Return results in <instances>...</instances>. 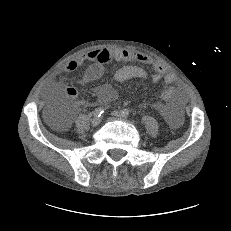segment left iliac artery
Segmentation results:
<instances>
[{"label":"left iliac artery","instance_id":"44dca946","mask_svg":"<svg viewBox=\"0 0 231 231\" xmlns=\"http://www.w3.org/2000/svg\"><path fill=\"white\" fill-rule=\"evenodd\" d=\"M122 114L123 116L127 117L130 114V110L126 108L122 111Z\"/></svg>","mask_w":231,"mask_h":231}]
</instances>
